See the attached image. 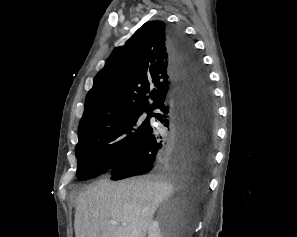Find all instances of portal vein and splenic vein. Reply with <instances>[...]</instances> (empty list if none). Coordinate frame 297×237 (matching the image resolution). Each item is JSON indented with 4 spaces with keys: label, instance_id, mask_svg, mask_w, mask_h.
<instances>
[{
    "label": "portal vein and splenic vein",
    "instance_id": "portal-vein-and-splenic-vein-1",
    "mask_svg": "<svg viewBox=\"0 0 297 237\" xmlns=\"http://www.w3.org/2000/svg\"><path fill=\"white\" fill-rule=\"evenodd\" d=\"M111 223H112L113 225H117V224H118L116 221H111ZM124 225H126V223H124Z\"/></svg>",
    "mask_w": 297,
    "mask_h": 237
}]
</instances>
